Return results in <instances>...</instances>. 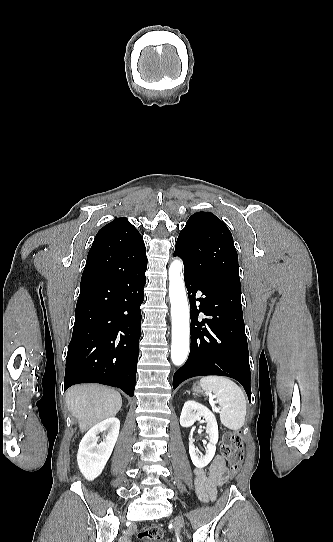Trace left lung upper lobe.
<instances>
[{
	"label": "left lung upper lobe",
	"mask_w": 333,
	"mask_h": 542,
	"mask_svg": "<svg viewBox=\"0 0 333 542\" xmlns=\"http://www.w3.org/2000/svg\"><path fill=\"white\" fill-rule=\"evenodd\" d=\"M175 252L186 267L240 286L232 234L213 213L201 211L188 219L178 236Z\"/></svg>",
	"instance_id": "1"
}]
</instances>
